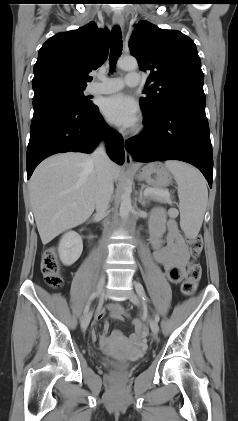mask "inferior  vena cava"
Instances as JSON below:
<instances>
[{"label": "inferior vena cava", "mask_w": 238, "mask_h": 421, "mask_svg": "<svg viewBox=\"0 0 238 421\" xmlns=\"http://www.w3.org/2000/svg\"><path fill=\"white\" fill-rule=\"evenodd\" d=\"M90 160L94 163L97 174L96 213L98 216H104L108 210L114 186L110 159L103 143L94 150Z\"/></svg>", "instance_id": "obj_1"}]
</instances>
